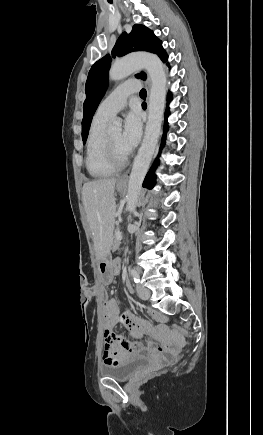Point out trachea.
<instances>
[{
  "label": "trachea",
  "instance_id": "obj_1",
  "mask_svg": "<svg viewBox=\"0 0 263 435\" xmlns=\"http://www.w3.org/2000/svg\"><path fill=\"white\" fill-rule=\"evenodd\" d=\"M146 95H147L146 90H145V89H142V90L140 91V96H141V97H146Z\"/></svg>",
  "mask_w": 263,
  "mask_h": 435
}]
</instances>
